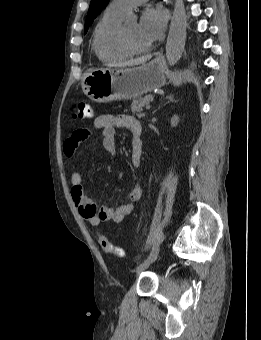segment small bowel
Segmentation results:
<instances>
[{"mask_svg": "<svg viewBox=\"0 0 261 340\" xmlns=\"http://www.w3.org/2000/svg\"><path fill=\"white\" fill-rule=\"evenodd\" d=\"M94 128L101 131L102 146L111 155H115L116 129L125 128L131 136L130 161L134 168H137L142 156L141 125L132 116L103 114L98 116L94 122ZM91 131L87 128L75 130L64 142L63 150L67 157L76 152L81 142L88 139ZM142 186L136 183L126 195V202L116 207L98 206L88 195L84 186L82 175L79 171L71 174V195L77 206L81 217L92 226H98L101 222L113 221L122 222L134 209L135 204L142 196Z\"/></svg>", "mask_w": 261, "mask_h": 340, "instance_id": "obj_1", "label": "small bowel"}]
</instances>
